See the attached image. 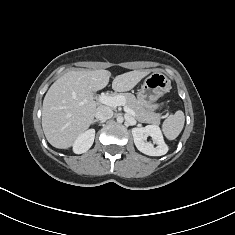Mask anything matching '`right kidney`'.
<instances>
[{"mask_svg": "<svg viewBox=\"0 0 235 235\" xmlns=\"http://www.w3.org/2000/svg\"><path fill=\"white\" fill-rule=\"evenodd\" d=\"M95 130L89 129L77 137L73 144V151L76 154L85 153L90 149L94 142Z\"/></svg>", "mask_w": 235, "mask_h": 235, "instance_id": "ca27d5eb", "label": "right kidney"}]
</instances>
